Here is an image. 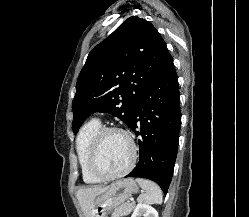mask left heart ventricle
Wrapping results in <instances>:
<instances>
[{"instance_id": "left-heart-ventricle-1", "label": "left heart ventricle", "mask_w": 249, "mask_h": 217, "mask_svg": "<svg viewBox=\"0 0 249 217\" xmlns=\"http://www.w3.org/2000/svg\"><path fill=\"white\" fill-rule=\"evenodd\" d=\"M131 158V147L128 140L119 133L106 134L100 144L97 163L99 168L108 174L123 170Z\"/></svg>"}]
</instances>
